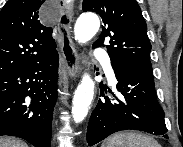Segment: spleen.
<instances>
[{
	"label": "spleen",
	"instance_id": "3e777b00",
	"mask_svg": "<svg viewBox=\"0 0 183 147\" xmlns=\"http://www.w3.org/2000/svg\"><path fill=\"white\" fill-rule=\"evenodd\" d=\"M102 147H161L152 137L137 132H120L107 138Z\"/></svg>",
	"mask_w": 183,
	"mask_h": 147
}]
</instances>
